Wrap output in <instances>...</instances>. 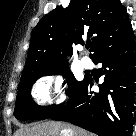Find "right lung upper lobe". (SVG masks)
Here are the masks:
<instances>
[{
	"mask_svg": "<svg viewBox=\"0 0 136 136\" xmlns=\"http://www.w3.org/2000/svg\"><path fill=\"white\" fill-rule=\"evenodd\" d=\"M133 35L126 8L120 0H71L57 7L33 30L21 79L68 64L73 44L92 40L93 57L102 49Z\"/></svg>",
	"mask_w": 136,
	"mask_h": 136,
	"instance_id": "obj_1",
	"label": "right lung upper lobe"
}]
</instances>
